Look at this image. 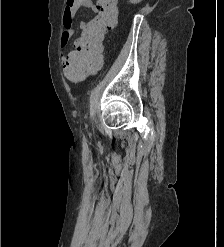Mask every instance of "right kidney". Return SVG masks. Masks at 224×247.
Here are the masks:
<instances>
[{
	"label": "right kidney",
	"instance_id": "right-kidney-1",
	"mask_svg": "<svg viewBox=\"0 0 224 247\" xmlns=\"http://www.w3.org/2000/svg\"><path fill=\"white\" fill-rule=\"evenodd\" d=\"M131 4H139V2H142V0H129Z\"/></svg>",
	"mask_w": 224,
	"mask_h": 247
}]
</instances>
